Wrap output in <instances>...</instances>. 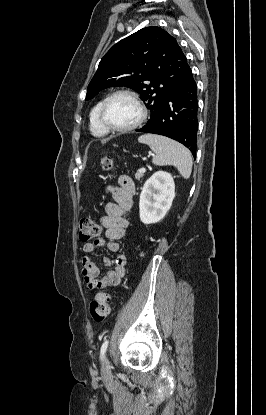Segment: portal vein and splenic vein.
<instances>
[{"label":"portal vein and splenic vein","mask_w":266,"mask_h":415,"mask_svg":"<svg viewBox=\"0 0 266 415\" xmlns=\"http://www.w3.org/2000/svg\"><path fill=\"white\" fill-rule=\"evenodd\" d=\"M146 171V169L144 168V167H142V168H140L139 170H138V172H141V173H143V172H145Z\"/></svg>","instance_id":"portal-vein-and-splenic-vein-1"}]
</instances>
